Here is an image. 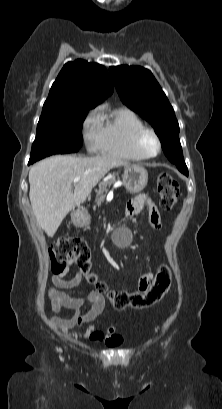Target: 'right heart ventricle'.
<instances>
[{
    "instance_id": "1",
    "label": "right heart ventricle",
    "mask_w": 222,
    "mask_h": 409,
    "mask_svg": "<svg viewBox=\"0 0 222 409\" xmlns=\"http://www.w3.org/2000/svg\"><path fill=\"white\" fill-rule=\"evenodd\" d=\"M100 120L98 149L102 154L119 160H143L134 149L133 138L144 123L133 110L127 107L104 109Z\"/></svg>"
}]
</instances>
